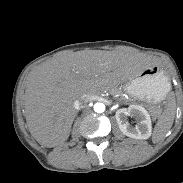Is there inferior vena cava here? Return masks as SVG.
<instances>
[{
  "instance_id": "inferior-vena-cava-1",
  "label": "inferior vena cava",
  "mask_w": 183,
  "mask_h": 183,
  "mask_svg": "<svg viewBox=\"0 0 183 183\" xmlns=\"http://www.w3.org/2000/svg\"><path fill=\"white\" fill-rule=\"evenodd\" d=\"M90 101V98L86 95H83L80 97V99L76 100L74 102L75 109L83 108L85 104H87Z\"/></svg>"
}]
</instances>
